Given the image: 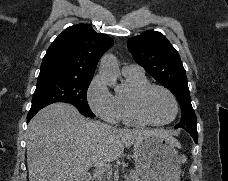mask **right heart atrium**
I'll list each match as a JSON object with an SVG mask.
<instances>
[{
  "label": "right heart atrium",
  "mask_w": 228,
  "mask_h": 181,
  "mask_svg": "<svg viewBox=\"0 0 228 181\" xmlns=\"http://www.w3.org/2000/svg\"><path fill=\"white\" fill-rule=\"evenodd\" d=\"M88 102L93 112L109 123H116L118 118L115 97L106 87V77L96 76L88 90Z\"/></svg>",
  "instance_id": "1"
}]
</instances>
